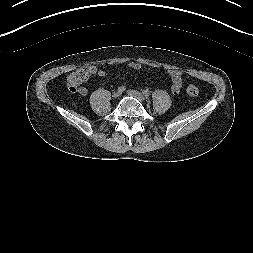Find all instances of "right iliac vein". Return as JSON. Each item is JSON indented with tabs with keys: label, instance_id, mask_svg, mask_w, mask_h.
Masks as SVG:
<instances>
[{
	"label": "right iliac vein",
	"instance_id": "63e3f726",
	"mask_svg": "<svg viewBox=\"0 0 253 253\" xmlns=\"http://www.w3.org/2000/svg\"><path fill=\"white\" fill-rule=\"evenodd\" d=\"M119 96H120V93H119V92H116V93H114V95H113L114 98H118Z\"/></svg>",
	"mask_w": 253,
	"mask_h": 253
}]
</instances>
